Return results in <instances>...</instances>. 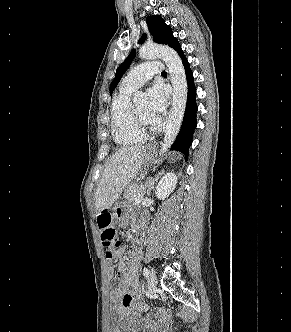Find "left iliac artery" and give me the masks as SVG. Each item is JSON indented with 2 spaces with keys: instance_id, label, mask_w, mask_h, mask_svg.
I'll use <instances>...</instances> for the list:
<instances>
[{
  "instance_id": "44dca946",
  "label": "left iliac artery",
  "mask_w": 291,
  "mask_h": 332,
  "mask_svg": "<svg viewBox=\"0 0 291 332\" xmlns=\"http://www.w3.org/2000/svg\"><path fill=\"white\" fill-rule=\"evenodd\" d=\"M143 275L145 277H148V275H149V269L147 267H144V269H143Z\"/></svg>"
}]
</instances>
